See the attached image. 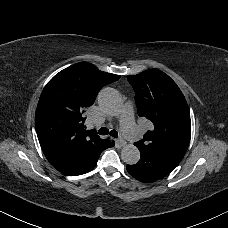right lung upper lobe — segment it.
Masks as SVG:
<instances>
[{"instance_id": "obj_1", "label": "right lung upper lobe", "mask_w": 228, "mask_h": 228, "mask_svg": "<svg viewBox=\"0 0 228 228\" xmlns=\"http://www.w3.org/2000/svg\"><path fill=\"white\" fill-rule=\"evenodd\" d=\"M119 78L80 62L60 71L47 83L36 109L35 126L41 148L52 166L103 142L94 130H86L83 113L103 86Z\"/></svg>"}]
</instances>
